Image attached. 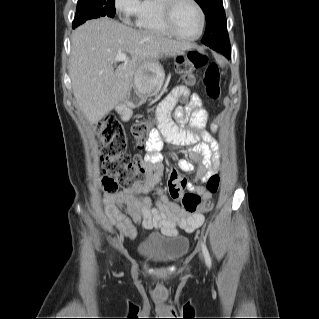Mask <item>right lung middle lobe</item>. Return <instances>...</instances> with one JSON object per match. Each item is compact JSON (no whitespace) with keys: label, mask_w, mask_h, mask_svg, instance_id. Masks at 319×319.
Wrapping results in <instances>:
<instances>
[{"label":"right lung middle lobe","mask_w":319,"mask_h":319,"mask_svg":"<svg viewBox=\"0 0 319 319\" xmlns=\"http://www.w3.org/2000/svg\"><path fill=\"white\" fill-rule=\"evenodd\" d=\"M115 0H78L72 28L83 24L88 19L101 16L114 17Z\"/></svg>","instance_id":"dd1d6c3e"}]
</instances>
